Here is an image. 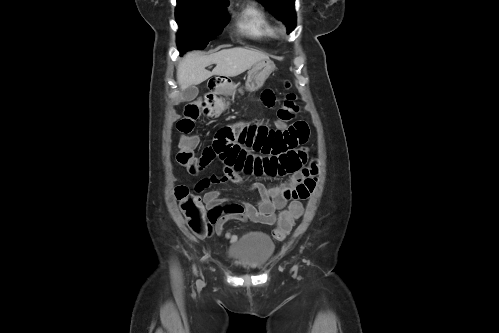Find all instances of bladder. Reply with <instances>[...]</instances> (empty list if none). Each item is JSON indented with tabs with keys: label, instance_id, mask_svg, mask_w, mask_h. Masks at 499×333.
Returning <instances> with one entry per match:
<instances>
[{
	"label": "bladder",
	"instance_id": "31cf9c89",
	"mask_svg": "<svg viewBox=\"0 0 499 333\" xmlns=\"http://www.w3.org/2000/svg\"><path fill=\"white\" fill-rule=\"evenodd\" d=\"M274 248L269 235L253 232L232 244L227 257L242 270H260L268 263Z\"/></svg>",
	"mask_w": 499,
	"mask_h": 333
}]
</instances>
